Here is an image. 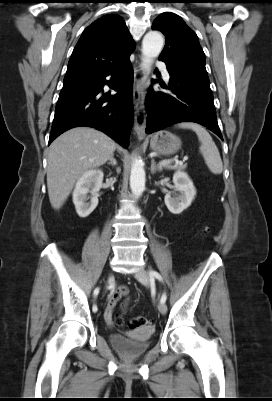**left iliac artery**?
<instances>
[{
  "instance_id": "obj_1",
  "label": "left iliac artery",
  "mask_w": 272,
  "mask_h": 401,
  "mask_svg": "<svg viewBox=\"0 0 272 401\" xmlns=\"http://www.w3.org/2000/svg\"><path fill=\"white\" fill-rule=\"evenodd\" d=\"M149 276H150L151 278H156V279H158L159 281H162V282H163L162 276H161L157 271L150 270V271H149ZM166 299H167L166 293H163V295H162V297H161V302H162V303H165Z\"/></svg>"
}]
</instances>
